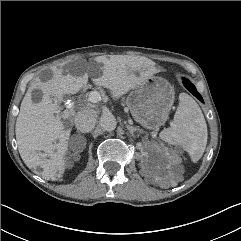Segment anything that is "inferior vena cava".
Masks as SVG:
<instances>
[{
    "mask_svg": "<svg viewBox=\"0 0 241 241\" xmlns=\"http://www.w3.org/2000/svg\"><path fill=\"white\" fill-rule=\"evenodd\" d=\"M96 119H97V113L95 110L85 109V110L79 111L76 114L74 118V122H75L76 128L79 131L83 133H87L94 129L97 121Z\"/></svg>",
    "mask_w": 241,
    "mask_h": 241,
    "instance_id": "1",
    "label": "inferior vena cava"
}]
</instances>
